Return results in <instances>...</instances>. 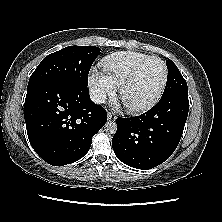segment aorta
Listing matches in <instances>:
<instances>
[{
    "label": "aorta",
    "instance_id": "762f6f07",
    "mask_svg": "<svg viewBox=\"0 0 222 222\" xmlns=\"http://www.w3.org/2000/svg\"><path fill=\"white\" fill-rule=\"evenodd\" d=\"M104 130L106 133L115 134L117 131V124L116 122H107L104 126Z\"/></svg>",
    "mask_w": 222,
    "mask_h": 222
}]
</instances>
